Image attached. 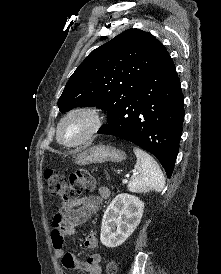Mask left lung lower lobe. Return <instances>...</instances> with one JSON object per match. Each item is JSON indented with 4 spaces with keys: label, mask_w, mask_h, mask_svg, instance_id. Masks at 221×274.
Returning a JSON list of instances; mask_svg holds the SVG:
<instances>
[{
    "label": "left lung lower lobe",
    "mask_w": 221,
    "mask_h": 274,
    "mask_svg": "<svg viewBox=\"0 0 221 274\" xmlns=\"http://www.w3.org/2000/svg\"><path fill=\"white\" fill-rule=\"evenodd\" d=\"M183 93L167 57L145 78L139 92L107 116L98 131L128 140L152 153L168 178L174 170L184 119Z\"/></svg>",
    "instance_id": "0a47b994"
}]
</instances>
